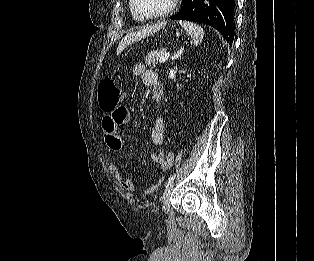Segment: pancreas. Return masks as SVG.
Listing matches in <instances>:
<instances>
[{
  "label": "pancreas",
  "instance_id": "pancreas-1",
  "mask_svg": "<svg viewBox=\"0 0 314 261\" xmlns=\"http://www.w3.org/2000/svg\"><path fill=\"white\" fill-rule=\"evenodd\" d=\"M164 54H166V50L160 49V50H156V51H152L148 53L147 55H145L144 59L148 66L156 67L158 64L159 58Z\"/></svg>",
  "mask_w": 314,
  "mask_h": 261
}]
</instances>
